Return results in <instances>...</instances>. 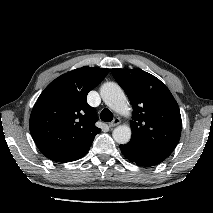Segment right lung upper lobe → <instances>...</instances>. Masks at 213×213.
<instances>
[{
    "instance_id": "cb5924a9",
    "label": "right lung upper lobe",
    "mask_w": 213,
    "mask_h": 213,
    "mask_svg": "<svg viewBox=\"0 0 213 213\" xmlns=\"http://www.w3.org/2000/svg\"><path fill=\"white\" fill-rule=\"evenodd\" d=\"M109 73L84 66L52 81L39 96L30 116V133L43 155L72 154L92 144L101 129L87 94Z\"/></svg>"
}]
</instances>
